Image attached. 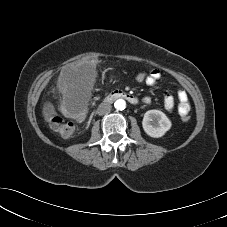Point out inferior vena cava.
<instances>
[{"mask_svg": "<svg viewBox=\"0 0 227 227\" xmlns=\"http://www.w3.org/2000/svg\"><path fill=\"white\" fill-rule=\"evenodd\" d=\"M112 109V106L109 103H101L97 108L98 115H105L109 113Z\"/></svg>", "mask_w": 227, "mask_h": 227, "instance_id": "obj_1", "label": "inferior vena cava"}]
</instances>
